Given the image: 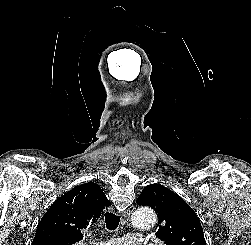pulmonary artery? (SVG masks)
Instances as JSON below:
<instances>
[{
  "instance_id": "pulmonary-artery-1",
  "label": "pulmonary artery",
  "mask_w": 251,
  "mask_h": 245,
  "mask_svg": "<svg viewBox=\"0 0 251 245\" xmlns=\"http://www.w3.org/2000/svg\"><path fill=\"white\" fill-rule=\"evenodd\" d=\"M143 237L139 234H128L123 238L112 239L96 245H142Z\"/></svg>"
}]
</instances>
